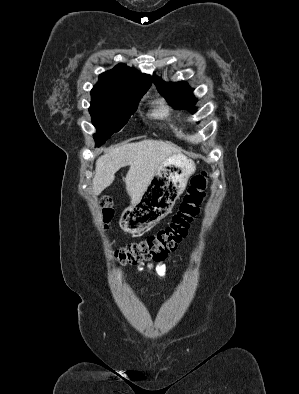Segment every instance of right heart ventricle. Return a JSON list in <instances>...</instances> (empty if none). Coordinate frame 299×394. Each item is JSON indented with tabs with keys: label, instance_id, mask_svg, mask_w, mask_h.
<instances>
[{
	"label": "right heart ventricle",
	"instance_id": "e07e8e85",
	"mask_svg": "<svg viewBox=\"0 0 299 394\" xmlns=\"http://www.w3.org/2000/svg\"><path fill=\"white\" fill-rule=\"evenodd\" d=\"M151 117L157 120H167L170 118L171 113L170 109L166 106V104L159 100L156 101L151 113Z\"/></svg>",
	"mask_w": 299,
	"mask_h": 394
}]
</instances>
